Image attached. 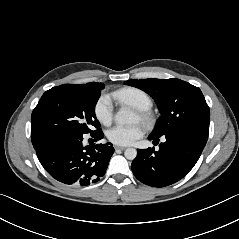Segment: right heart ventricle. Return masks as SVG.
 I'll return each instance as SVG.
<instances>
[{"mask_svg": "<svg viewBox=\"0 0 239 239\" xmlns=\"http://www.w3.org/2000/svg\"><path fill=\"white\" fill-rule=\"evenodd\" d=\"M113 96L116 100L129 104L137 110L148 111L152 107L149 95L138 88H124L115 92Z\"/></svg>", "mask_w": 239, "mask_h": 239, "instance_id": "1", "label": "right heart ventricle"}]
</instances>
